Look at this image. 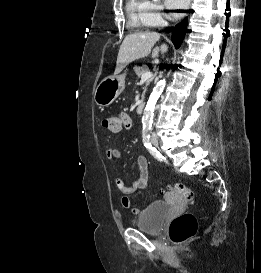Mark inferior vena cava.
Listing matches in <instances>:
<instances>
[{"label":"inferior vena cava","instance_id":"inferior-vena-cava-1","mask_svg":"<svg viewBox=\"0 0 261 273\" xmlns=\"http://www.w3.org/2000/svg\"><path fill=\"white\" fill-rule=\"evenodd\" d=\"M153 136H154V137H156V134H155V133H153Z\"/></svg>","mask_w":261,"mask_h":273}]
</instances>
